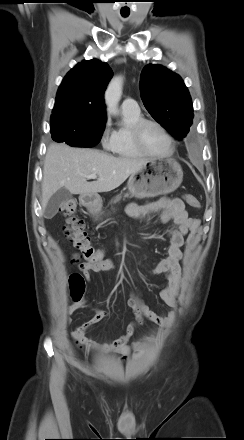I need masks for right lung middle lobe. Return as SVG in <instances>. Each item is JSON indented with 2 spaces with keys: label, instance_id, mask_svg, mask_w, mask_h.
Masks as SVG:
<instances>
[{
  "label": "right lung middle lobe",
  "instance_id": "obj_1",
  "mask_svg": "<svg viewBox=\"0 0 244 440\" xmlns=\"http://www.w3.org/2000/svg\"><path fill=\"white\" fill-rule=\"evenodd\" d=\"M104 127L105 122L51 121V134L56 142H65L75 147H92L100 141Z\"/></svg>",
  "mask_w": 244,
  "mask_h": 440
}]
</instances>
